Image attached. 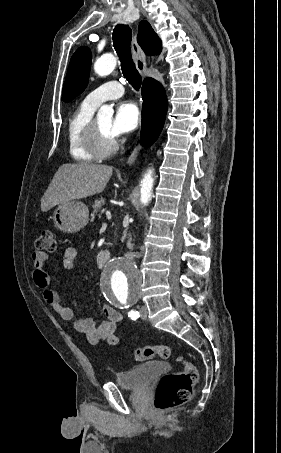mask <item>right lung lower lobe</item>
Returning a JSON list of instances; mask_svg holds the SVG:
<instances>
[{"mask_svg": "<svg viewBox=\"0 0 281 453\" xmlns=\"http://www.w3.org/2000/svg\"><path fill=\"white\" fill-rule=\"evenodd\" d=\"M142 99L141 142L148 147L155 142L163 128L168 103L164 88L152 78H146L143 82Z\"/></svg>", "mask_w": 281, "mask_h": 453, "instance_id": "obj_1", "label": "right lung lower lobe"}]
</instances>
